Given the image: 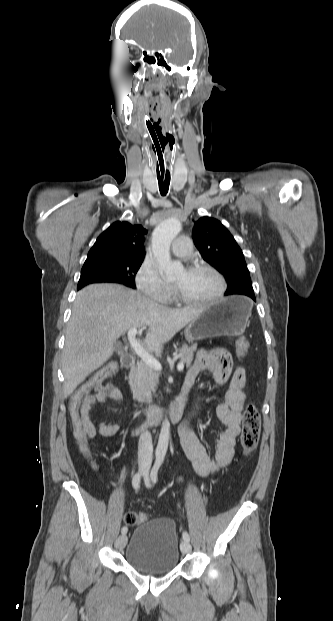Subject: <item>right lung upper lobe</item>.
I'll return each mask as SVG.
<instances>
[{"label":"right lung upper lobe","mask_w":333,"mask_h":621,"mask_svg":"<svg viewBox=\"0 0 333 621\" xmlns=\"http://www.w3.org/2000/svg\"><path fill=\"white\" fill-rule=\"evenodd\" d=\"M147 231L141 225L128 222H114L96 240L86 261L100 259H135L145 256L144 235Z\"/></svg>","instance_id":"obj_1"}]
</instances>
